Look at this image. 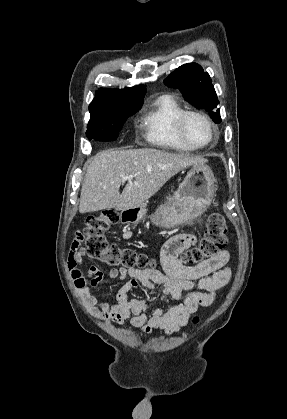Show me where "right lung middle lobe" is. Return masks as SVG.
<instances>
[{
    "label": "right lung middle lobe",
    "instance_id": "right-lung-middle-lobe-1",
    "mask_svg": "<svg viewBox=\"0 0 287 419\" xmlns=\"http://www.w3.org/2000/svg\"><path fill=\"white\" fill-rule=\"evenodd\" d=\"M140 108L141 106L124 107L91 114L87 125V138L97 141L116 140L127 118L135 114Z\"/></svg>",
    "mask_w": 287,
    "mask_h": 419
}]
</instances>
